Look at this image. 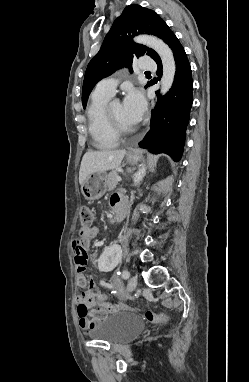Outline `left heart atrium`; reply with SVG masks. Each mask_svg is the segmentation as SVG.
<instances>
[{"instance_id": "1", "label": "left heart atrium", "mask_w": 249, "mask_h": 382, "mask_svg": "<svg viewBox=\"0 0 249 382\" xmlns=\"http://www.w3.org/2000/svg\"><path fill=\"white\" fill-rule=\"evenodd\" d=\"M123 111L126 118L133 124L139 123L145 113L146 102L142 92L138 89L131 88L127 91L124 98Z\"/></svg>"}]
</instances>
